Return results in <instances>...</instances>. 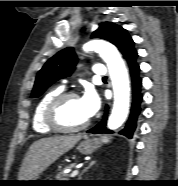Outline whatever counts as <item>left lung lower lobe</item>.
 <instances>
[{"label": "left lung lower lobe", "mask_w": 178, "mask_h": 186, "mask_svg": "<svg viewBox=\"0 0 178 186\" xmlns=\"http://www.w3.org/2000/svg\"><path fill=\"white\" fill-rule=\"evenodd\" d=\"M138 57V54L133 55L127 60V64L129 66L130 70V76L132 80V93H133V101L131 105V110H130V115L129 119L126 123V126L124 129L120 131V134L132 138L133 134L136 130L137 127V118L141 112L140 104L143 100V95L140 92L141 86H142V79L139 77V72H140V67L136 63V59ZM107 109L105 114L102 118V120L93 128L88 130V133H112V131L108 130L106 128V123H107Z\"/></svg>", "instance_id": "left-lung-lower-lobe-1"}]
</instances>
